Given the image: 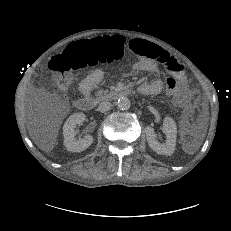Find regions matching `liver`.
Here are the masks:
<instances>
[{
  "label": "liver",
  "mask_w": 231,
  "mask_h": 231,
  "mask_svg": "<svg viewBox=\"0 0 231 231\" xmlns=\"http://www.w3.org/2000/svg\"><path fill=\"white\" fill-rule=\"evenodd\" d=\"M38 146L42 149V150H45V151H51L52 148H53V144L52 145H44L43 143H39L37 142Z\"/></svg>",
  "instance_id": "obj_1"
}]
</instances>
